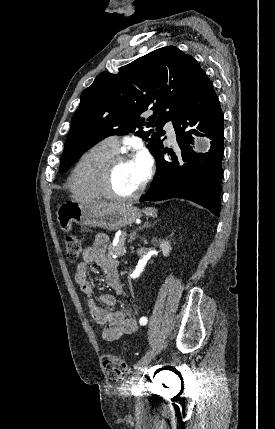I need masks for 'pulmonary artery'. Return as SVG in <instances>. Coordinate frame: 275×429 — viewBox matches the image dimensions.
<instances>
[{
    "mask_svg": "<svg viewBox=\"0 0 275 429\" xmlns=\"http://www.w3.org/2000/svg\"><path fill=\"white\" fill-rule=\"evenodd\" d=\"M165 130L167 132L168 140L170 143L175 142V130L173 128V125L171 123H167L165 126ZM103 143L110 148L111 150L117 152L120 147V141L117 136H110L106 138Z\"/></svg>",
    "mask_w": 275,
    "mask_h": 429,
    "instance_id": "obj_1",
    "label": "pulmonary artery"
}]
</instances>
